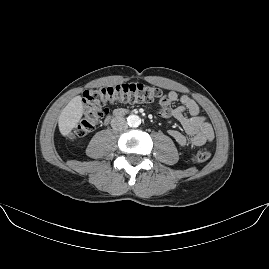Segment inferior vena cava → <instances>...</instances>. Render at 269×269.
<instances>
[{"mask_svg":"<svg viewBox=\"0 0 269 269\" xmlns=\"http://www.w3.org/2000/svg\"><path fill=\"white\" fill-rule=\"evenodd\" d=\"M110 124H111V127L114 130H118V131L126 130L128 128V124L125 121L124 117H122V116H115V117H113L111 119Z\"/></svg>","mask_w":269,"mask_h":269,"instance_id":"inferior-vena-cava-1","label":"inferior vena cava"}]
</instances>
